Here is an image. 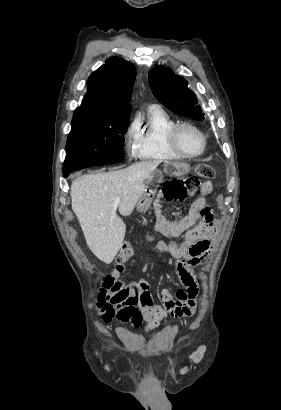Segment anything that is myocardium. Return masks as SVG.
Instances as JSON below:
<instances>
[{
    "label": "myocardium",
    "mask_w": 281,
    "mask_h": 410,
    "mask_svg": "<svg viewBox=\"0 0 281 410\" xmlns=\"http://www.w3.org/2000/svg\"><path fill=\"white\" fill-rule=\"evenodd\" d=\"M185 128L193 129L201 136L202 147L196 153H187L180 145L179 135H180V132ZM169 143H170L171 148L176 153H178L182 158H195L203 154V152L205 151L207 147V137L205 133L197 125L190 123V122H182V123H177L169 132Z\"/></svg>",
    "instance_id": "1"
}]
</instances>
